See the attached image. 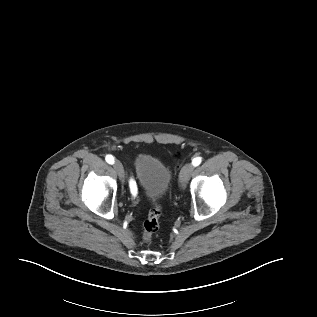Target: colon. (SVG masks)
Here are the masks:
<instances>
[{
    "instance_id": "colon-1",
    "label": "colon",
    "mask_w": 317,
    "mask_h": 317,
    "mask_svg": "<svg viewBox=\"0 0 317 317\" xmlns=\"http://www.w3.org/2000/svg\"><path fill=\"white\" fill-rule=\"evenodd\" d=\"M162 213V209L160 204L153 201L152 207L149 210L147 219L145 220L143 224V238L146 242H149L154 235V233L157 232L159 228V219Z\"/></svg>"
}]
</instances>
